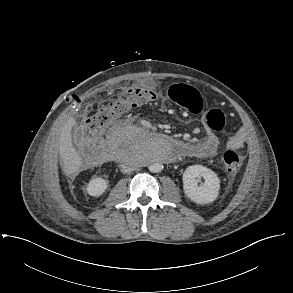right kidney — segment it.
<instances>
[{
	"label": "right kidney",
	"instance_id": "right-kidney-1",
	"mask_svg": "<svg viewBox=\"0 0 293 293\" xmlns=\"http://www.w3.org/2000/svg\"><path fill=\"white\" fill-rule=\"evenodd\" d=\"M107 187L108 182L105 179L101 177H96L89 181L86 191L89 195L93 197H99L105 192Z\"/></svg>",
	"mask_w": 293,
	"mask_h": 293
}]
</instances>
